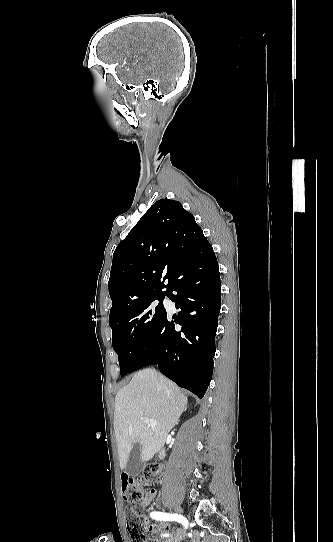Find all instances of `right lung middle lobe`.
Masks as SVG:
<instances>
[{"mask_svg":"<svg viewBox=\"0 0 333 542\" xmlns=\"http://www.w3.org/2000/svg\"><path fill=\"white\" fill-rule=\"evenodd\" d=\"M163 299L164 296L157 299L158 304L151 301L136 306L109 320L122 376L131 372L137 359L153 343L160 323L167 316Z\"/></svg>","mask_w":333,"mask_h":542,"instance_id":"dd1d6c3e","label":"right lung middle lobe"}]
</instances>
